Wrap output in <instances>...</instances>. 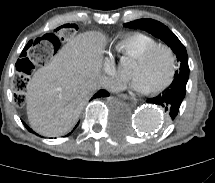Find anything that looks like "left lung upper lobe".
I'll list each match as a JSON object with an SVG mask.
<instances>
[{
    "label": "left lung upper lobe",
    "mask_w": 215,
    "mask_h": 183,
    "mask_svg": "<svg viewBox=\"0 0 215 183\" xmlns=\"http://www.w3.org/2000/svg\"><path fill=\"white\" fill-rule=\"evenodd\" d=\"M125 27L145 30L157 38L163 40L176 54L180 62V68L175 72L174 77H189L188 56L184 45L176 35L164 24L152 19H140L124 24Z\"/></svg>",
    "instance_id": "5c2ea615"
}]
</instances>
